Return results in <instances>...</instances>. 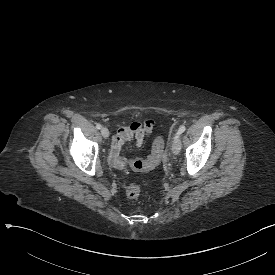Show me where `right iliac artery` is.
I'll use <instances>...</instances> for the list:
<instances>
[{
    "mask_svg": "<svg viewBox=\"0 0 275 275\" xmlns=\"http://www.w3.org/2000/svg\"><path fill=\"white\" fill-rule=\"evenodd\" d=\"M96 128H97V129H101V128H102V125H101V124H97V125H96Z\"/></svg>",
    "mask_w": 275,
    "mask_h": 275,
    "instance_id": "obj_1",
    "label": "right iliac artery"
}]
</instances>
